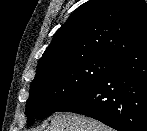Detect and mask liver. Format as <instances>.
<instances>
[{
    "label": "liver",
    "mask_w": 147,
    "mask_h": 131,
    "mask_svg": "<svg viewBox=\"0 0 147 131\" xmlns=\"http://www.w3.org/2000/svg\"><path fill=\"white\" fill-rule=\"evenodd\" d=\"M46 131H112L103 123L83 115L55 113Z\"/></svg>",
    "instance_id": "obj_1"
}]
</instances>
